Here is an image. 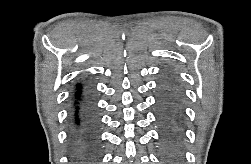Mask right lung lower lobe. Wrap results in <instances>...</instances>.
Segmentation results:
<instances>
[{
	"label": "right lung lower lobe",
	"instance_id": "98d812e1",
	"mask_svg": "<svg viewBox=\"0 0 251 164\" xmlns=\"http://www.w3.org/2000/svg\"><path fill=\"white\" fill-rule=\"evenodd\" d=\"M73 136L77 143V157L84 161H93L96 157L95 131L96 121L91 115L85 99L82 85L78 84L73 96Z\"/></svg>",
	"mask_w": 251,
	"mask_h": 164
}]
</instances>
